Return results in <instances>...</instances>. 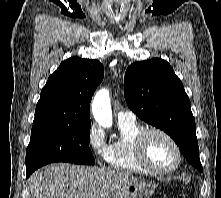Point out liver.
<instances>
[{"label":"liver","mask_w":221,"mask_h":198,"mask_svg":"<svg viewBox=\"0 0 221 198\" xmlns=\"http://www.w3.org/2000/svg\"><path fill=\"white\" fill-rule=\"evenodd\" d=\"M133 179L129 172L55 163L34 172L29 188L32 198H106Z\"/></svg>","instance_id":"obj_1"}]
</instances>
